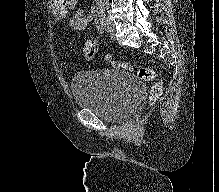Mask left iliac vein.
I'll return each instance as SVG.
<instances>
[{
	"mask_svg": "<svg viewBox=\"0 0 219 192\" xmlns=\"http://www.w3.org/2000/svg\"><path fill=\"white\" fill-rule=\"evenodd\" d=\"M106 30L110 32L111 34H114L116 31L114 22L110 20L109 18H106Z\"/></svg>",
	"mask_w": 219,
	"mask_h": 192,
	"instance_id": "4c4485c4",
	"label": "left iliac vein"
}]
</instances>
